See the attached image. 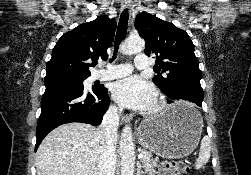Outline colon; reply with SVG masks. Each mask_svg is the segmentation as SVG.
Here are the masks:
<instances>
[{
	"label": "colon",
	"instance_id": "1",
	"mask_svg": "<svg viewBox=\"0 0 251 175\" xmlns=\"http://www.w3.org/2000/svg\"><path fill=\"white\" fill-rule=\"evenodd\" d=\"M189 166L183 161H163L158 165L159 175H187Z\"/></svg>",
	"mask_w": 251,
	"mask_h": 175
}]
</instances>
